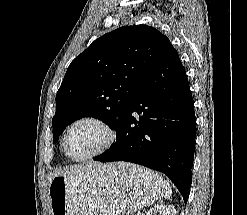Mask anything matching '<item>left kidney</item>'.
<instances>
[{
	"label": "left kidney",
	"mask_w": 247,
	"mask_h": 215,
	"mask_svg": "<svg viewBox=\"0 0 247 215\" xmlns=\"http://www.w3.org/2000/svg\"><path fill=\"white\" fill-rule=\"evenodd\" d=\"M147 215H176V209L173 205H157L151 208Z\"/></svg>",
	"instance_id": "1"
}]
</instances>
